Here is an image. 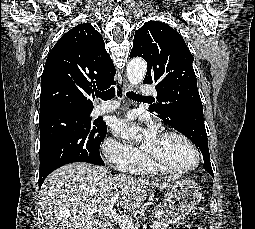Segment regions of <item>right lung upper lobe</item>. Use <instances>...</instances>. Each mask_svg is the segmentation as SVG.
Returning a JSON list of instances; mask_svg holds the SVG:
<instances>
[{
    "mask_svg": "<svg viewBox=\"0 0 255 229\" xmlns=\"http://www.w3.org/2000/svg\"><path fill=\"white\" fill-rule=\"evenodd\" d=\"M115 73L101 34L89 23L77 25L47 57L41 76L40 118L57 112L92 111L88 96L115 85Z\"/></svg>",
    "mask_w": 255,
    "mask_h": 229,
    "instance_id": "cb5924a9",
    "label": "right lung upper lobe"
}]
</instances>
